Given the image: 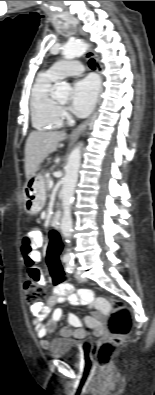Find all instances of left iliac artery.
Instances as JSON below:
<instances>
[{
    "label": "left iliac artery",
    "mask_w": 155,
    "mask_h": 395,
    "mask_svg": "<svg viewBox=\"0 0 155 395\" xmlns=\"http://www.w3.org/2000/svg\"><path fill=\"white\" fill-rule=\"evenodd\" d=\"M74 268H75V265H74L73 258H71L70 260L66 261V271L68 273L72 274L73 271H74Z\"/></svg>",
    "instance_id": "44dca946"
}]
</instances>
